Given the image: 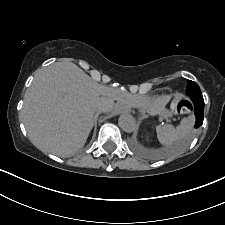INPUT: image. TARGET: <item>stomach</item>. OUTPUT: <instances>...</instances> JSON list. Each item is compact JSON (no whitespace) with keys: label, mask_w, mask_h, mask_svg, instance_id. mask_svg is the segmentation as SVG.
<instances>
[{"label":"stomach","mask_w":225,"mask_h":225,"mask_svg":"<svg viewBox=\"0 0 225 225\" xmlns=\"http://www.w3.org/2000/svg\"><path fill=\"white\" fill-rule=\"evenodd\" d=\"M165 104L166 100L164 99L152 100L146 104V109L150 113H161L164 109Z\"/></svg>","instance_id":"0dacf381"}]
</instances>
